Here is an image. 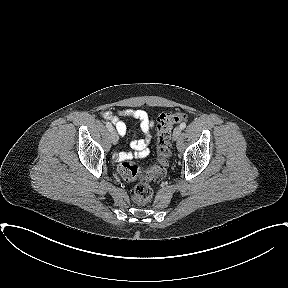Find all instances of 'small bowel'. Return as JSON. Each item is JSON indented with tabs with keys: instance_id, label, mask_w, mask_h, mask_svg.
<instances>
[{
	"instance_id": "c3829d8e",
	"label": "small bowel",
	"mask_w": 288,
	"mask_h": 288,
	"mask_svg": "<svg viewBox=\"0 0 288 288\" xmlns=\"http://www.w3.org/2000/svg\"><path fill=\"white\" fill-rule=\"evenodd\" d=\"M119 116L128 117L139 121L138 128L134 131V138L130 142V146L133 149V152H120L116 158L118 161L125 159L135 158H145L149 154L148 144L151 140L152 134L151 129L154 126V121L148 116V114L141 109L137 108H126L120 110L118 115L110 111H106L103 114V117L106 120H109L114 127L116 128L119 136L124 137L127 133L126 124L119 118ZM139 130L143 135V139H137L136 133Z\"/></svg>"
}]
</instances>
